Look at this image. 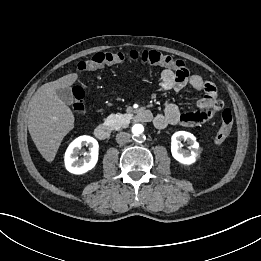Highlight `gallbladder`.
<instances>
[{"mask_svg": "<svg viewBox=\"0 0 261 261\" xmlns=\"http://www.w3.org/2000/svg\"><path fill=\"white\" fill-rule=\"evenodd\" d=\"M56 94L59 97V99L67 105H71L74 102V95L71 89L68 87L57 89Z\"/></svg>", "mask_w": 261, "mask_h": 261, "instance_id": "bac80fb5", "label": "gallbladder"}]
</instances>
